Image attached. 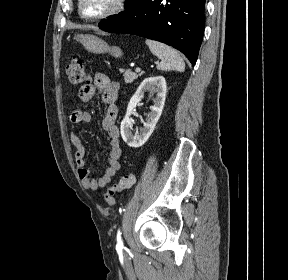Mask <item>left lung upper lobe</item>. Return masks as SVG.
Returning <instances> with one entry per match:
<instances>
[{
    "label": "left lung upper lobe",
    "instance_id": "1",
    "mask_svg": "<svg viewBox=\"0 0 288 280\" xmlns=\"http://www.w3.org/2000/svg\"><path fill=\"white\" fill-rule=\"evenodd\" d=\"M135 0H126L125 1V8L129 7L130 5H132L134 3Z\"/></svg>",
    "mask_w": 288,
    "mask_h": 280
}]
</instances>
